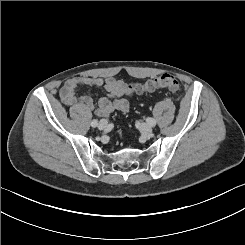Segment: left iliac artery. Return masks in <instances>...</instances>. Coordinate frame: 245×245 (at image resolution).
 I'll list each match as a JSON object with an SVG mask.
<instances>
[{
    "mask_svg": "<svg viewBox=\"0 0 245 245\" xmlns=\"http://www.w3.org/2000/svg\"><path fill=\"white\" fill-rule=\"evenodd\" d=\"M146 121L152 127L156 125V121L153 118H147Z\"/></svg>",
    "mask_w": 245,
    "mask_h": 245,
    "instance_id": "left-iliac-artery-1",
    "label": "left iliac artery"
}]
</instances>
